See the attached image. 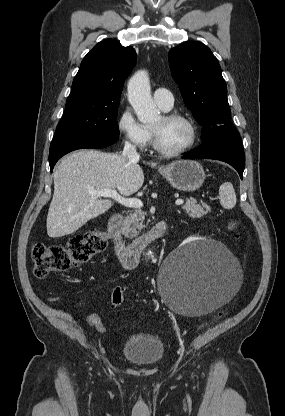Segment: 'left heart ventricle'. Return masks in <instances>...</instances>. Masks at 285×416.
Here are the masks:
<instances>
[{
	"mask_svg": "<svg viewBox=\"0 0 285 416\" xmlns=\"http://www.w3.org/2000/svg\"><path fill=\"white\" fill-rule=\"evenodd\" d=\"M150 128L155 132L159 145L167 150L181 149L190 140V130L185 122L165 120L162 114L150 124Z\"/></svg>",
	"mask_w": 285,
	"mask_h": 416,
	"instance_id": "1",
	"label": "left heart ventricle"
}]
</instances>
